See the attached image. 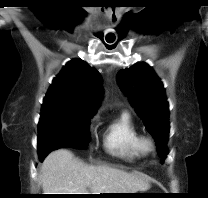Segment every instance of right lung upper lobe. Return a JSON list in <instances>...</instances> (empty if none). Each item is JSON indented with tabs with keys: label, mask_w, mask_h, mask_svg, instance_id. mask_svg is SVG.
I'll return each mask as SVG.
<instances>
[{
	"label": "right lung upper lobe",
	"mask_w": 208,
	"mask_h": 198,
	"mask_svg": "<svg viewBox=\"0 0 208 198\" xmlns=\"http://www.w3.org/2000/svg\"><path fill=\"white\" fill-rule=\"evenodd\" d=\"M101 95L100 73L85 61L73 59L53 79L41 111L72 110L93 115Z\"/></svg>",
	"instance_id": "obj_1"
}]
</instances>
